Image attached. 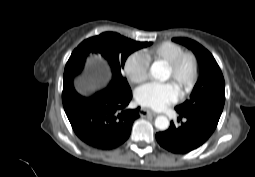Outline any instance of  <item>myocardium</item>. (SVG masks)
I'll list each match as a JSON object with an SVG mask.
<instances>
[{"label":"myocardium","mask_w":255,"mask_h":177,"mask_svg":"<svg viewBox=\"0 0 255 177\" xmlns=\"http://www.w3.org/2000/svg\"><path fill=\"white\" fill-rule=\"evenodd\" d=\"M186 61L191 63V72L185 82L179 85L181 91L189 90L196 81L198 74V60L196 55L191 51H183L172 61L166 63V67L172 72L173 80H175Z\"/></svg>","instance_id":"1"}]
</instances>
